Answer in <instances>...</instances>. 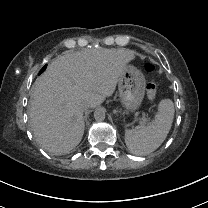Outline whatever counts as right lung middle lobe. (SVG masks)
Returning a JSON list of instances; mask_svg holds the SVG:
<instances>
[{"label":"right lung middle lobe","instance_id":"dd1d6c3e","mask_svg":"<svg viewBox=\"0 0 208 208\" xmlns=\"http://www.w3.org/2000/svg\"><path fill=\"white\" fill-rule=\"evenodd\" d=\"M46 69V66H44L41 70L40 73H42Z\"/></svg>","mask_w":208,"mask_h":208}]
</instances>
